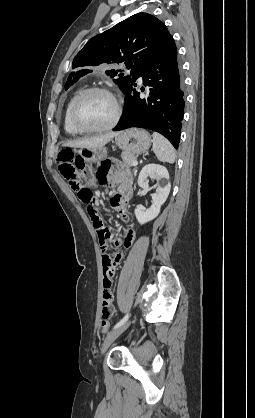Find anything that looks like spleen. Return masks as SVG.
Wrapping results in <instances>:
<instances>
[{
  "mask_svg": "<svg viewBox=\"0 0 255 418\" xmlns=\"http://www.w3.org/2000/svg\"><path fill=\"white\" fill-rule=\"evenodd\" d=\"M153 151L159 161L174 163L175 150L171 143L161 134L153 133Z\"/></svg>",
  "mask_w": 255,
  "mask_h": 418,
  "instance_id": "spleen-1",
  "label": "spleen"
}]
</instances>
